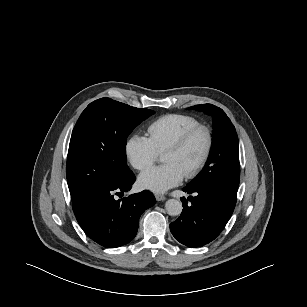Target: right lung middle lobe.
<instances>
[{
	"instance_id": "1",
	"label": "right lung middle lobe",
	"mask_w": 307,
	"mask_h": 307,
	"mask_svg": "<svg viewBox=\"0 0 307 307\" xmlns=\"http://www.w3.org/2000/svg\"><path fill=\"white\" fill-rule=\"evenodd\" d=\"M154 113L110 98L87 106L73 129L68 150L66 175L72 201L104 188L130 171L127 137Z\"/></svg>"
}]
</instances>
